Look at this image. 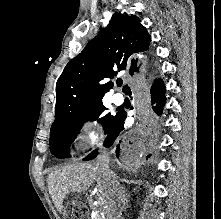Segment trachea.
I'll return each mask as SVG.
<instances>
[{
	"instance_id": "obj_1",
	"label": "trachea",
	"mask_w": 221,
	"mask_h": 219,
	"mask_svg": "<svg viewBox=\"0 0 221 219\" xmlns=\"http://www.w3.org/2000/svg\"><path fill=\"white\" fill-rule=\"evenodd\" d=\"M122 84H123V81H122V80L117 81V85H118L119 87L122 86Z\"/></svg>"
}]
</instances>
